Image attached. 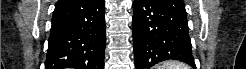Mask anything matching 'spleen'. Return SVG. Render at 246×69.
<instances>
[{"instance_id":"obj_1","label":"spleen","mask_w":246,"mask_h":69,"mask_svg":"<svg viewBox=\"0 0 246 69\" xmlns=\"http://www.w3.org/2000/svg\"><path fill=\"white\" fill-rule=\"evenodd\" d=\"M156 69H189V66L177 61H165L161 65L156 66Z\"/></svg>"}]
</instances>
